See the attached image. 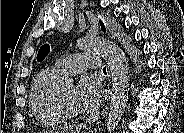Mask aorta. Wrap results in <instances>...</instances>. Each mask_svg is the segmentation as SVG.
<instances>
[{
    "label": "aorta",
    "mask_w": 184,
    "mask_h": 133,
    "mask_svg": "<svg viewBox=\"0 0 184 133\" xmlns=\"http://www.w3.org/2000/svg\"><path fill=\"white\" fill-rule=\"evenodd\" d=\"M78 47L101 54L111 71L112 98L106 124L108 133L114 132L123 116L129 92L130 67L124 52L110 41L100 38H83ZM72 82V79H69Z\"/></svg>",
    "instance_id": "aorta-1"
}]
</instances>
